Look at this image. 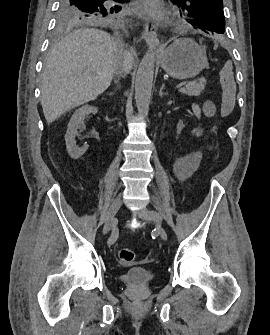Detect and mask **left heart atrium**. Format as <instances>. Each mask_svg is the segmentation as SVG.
<instances>
[{"label": "left heart atrium", "instance_id": "39dd6f15", "mask_svg": "<svg viewBox=\"0 0 270 335\" xmlns=\"http://www.w3.org/2000/svg\"><path fill=\"white\" fill-rule=\"evenodd\" d=\"M136 13L151 22L167 24L169 16L161 9L159 0H142L136 4Z\"/></svg>", "mask_w": 270, "mask_h": 335}]
</instances>
